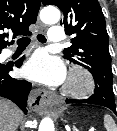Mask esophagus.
<instances>
[{"label": "esophagus", "instance_id": "1", "mask_svg": "<svg viewBox=\"0 0 117 131\" xmlns=\"http://www.w3.org/2000/svg\"><path fill=\"white\" fill-rule=\"evenodd\" d=\"M37 24L41 32L46 30V26L39 19L37 21ZM52 98L53 95L46 90H34L29 97L30 108L39 114L49 113V111L51 110Z\"/></svg>", "mask_w": 117, "mask_h": 131}]
</instances>
